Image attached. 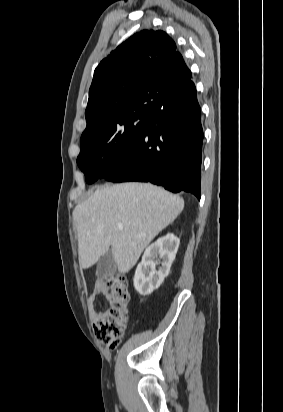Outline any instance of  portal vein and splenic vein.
<instances>
[{
	"label": "portal vein and splenic vein",
	"mask_w": 283,
	"mask_h": 412,
	"mask_svg": "<svg viewBox=\"0 0 283 412\" xmlns=\"http://www.w3.org/2000/svg\"><path fill=\"white\" fill-rule=\"evenodd\" d=\"M118 228H119V229H122V228H123V224L119 223V224H118Z\"/></svg>",
	"instance_id": "18ae733b"
}]
</instances>
